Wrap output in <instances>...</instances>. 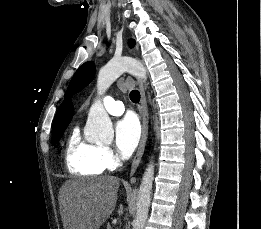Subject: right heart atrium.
Wrapping results in <instances>:
<instances>
[{"mask_svg": "<svg viewBox=\"0 0 261 229\" xmlns=\"http://www.w3.org/2000/svg\"><path fill=\"white\" fill-rule=\"evenodd\" d=\"M99 164L102 170L115 171L122 165V158L111 147L101 146Z\"/></svg>", "mask_w": 261, "mask_h": 229, "instance_id": "d8ad5b80", "label": "right heart atrium"}]
</instances>
